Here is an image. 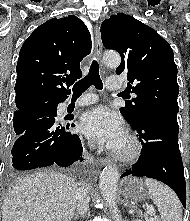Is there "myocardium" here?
Returning a JSON list of instances; mask_svg holds the SVG:
<instances>
[{"label":"myocardium","instance_id":"myocardium-1","mask_svg":"<svg viewBox=\"0 0 190 221\" xmlns=\"http://www.w3.org/2000/svg\"><path fill=\"white\" fill-rule=\"evenodd\" d=\"M125 137L129 143V149L125 152L113 150L112 156L121 162H131L139 157L141 153V144L137 136L131 132H127Z\"/></svg>","mask_w":190,"mask_h":221}]
</instances>
